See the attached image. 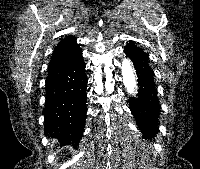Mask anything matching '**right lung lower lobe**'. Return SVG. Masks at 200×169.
<instances>
[{
    "instance_id": "right-lung-lower-lobe-1",
    "label": "right lung lower lobe",
    "mask_w": 200,
    "mask_h": 169,
    "mask_svg": "<svg viewBox=\"0 0 200 169\" xmlns=\"http://www.w3.org/2000/svg\"><path fill=\"white\" fill-rule=\"evenodd\" d=\"M85 63L82 52L74 59L48 68L44 133L63 145H78L86 117Z\"/></svg>"
}]
</instances>
